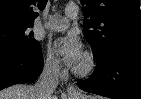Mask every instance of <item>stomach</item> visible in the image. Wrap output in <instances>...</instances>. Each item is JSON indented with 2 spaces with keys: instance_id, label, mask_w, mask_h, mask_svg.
I'll list each match as a JSON object with an SVG mask.
<instances>
[{
  "instance_id": "1",
  "label": "stomach",
  "mask_w": 141,
  "mask_h": 99,
  "mask_svg": "<svg viewBox=\"0 0 141 99\" xmlns=\"http://www.w3.org/2000/svg\"><path fill=\"white\" fill-rule=\"evenodd\" d=\"M69 99H87L85 96H75V97H69Z\"/></svg>"
}]
</instances>
